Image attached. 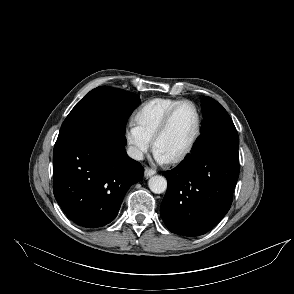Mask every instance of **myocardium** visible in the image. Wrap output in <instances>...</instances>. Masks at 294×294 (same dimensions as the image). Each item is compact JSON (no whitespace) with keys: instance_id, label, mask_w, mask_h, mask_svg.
Here are the masks:
<instances>
[{"instance_id":"obj_1","label":"myocardium","mask_w":294,"mask_h":294,"mask_svg":"<svg viewBox=\"0 0 294 294\" xmlns=\"http://www.w3.org/2000/svg\"><path fill=\"white\" fill-rule=\"evenodd\" d=\"M186 104L191 105L195 110V113L197 116L196 128H195V131L192 135L191 140L189 141V143L185 147V149L181 153H179L178 155H176L175 157H173L167 161L168 163H171V164H175V163H179V162L183 161L191 153V151L193 150V148L195 147V145L199 139V136H200L201 130H202L203 118H202V114H201V111H200V108L198 107V105L195 102H193L191 100H187V99L181 100L180 102H178L176 105H174L167 112V114L163 118L159 128L157 129V131L153 137V148H154V150H156V146H157L159 140L164 136V134L169 129L174 115L183 105H186Z\"/></svg>"}]
</instances>
